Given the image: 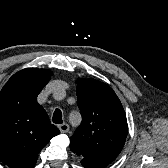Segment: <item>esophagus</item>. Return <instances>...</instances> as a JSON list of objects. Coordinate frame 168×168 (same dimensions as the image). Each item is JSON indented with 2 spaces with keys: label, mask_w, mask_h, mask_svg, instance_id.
Instances as JSON below:
<instances>
[{
  "label": "esophagus",
  "mask_w": 168,
  "mask_h": 168,
  "mask_svg": "<svg viewBox=\"0 0 168 168\" xmlns=\"http://www.w3.org/2000/svg\"><path fill=\"white\" fill-rule=\"evenodd\" d=\"M58 127L62 133H66L69 130V125L66 123L60 124Z\"/></svg>",
  "instance_id": "34e87169"
}]
</instances>
